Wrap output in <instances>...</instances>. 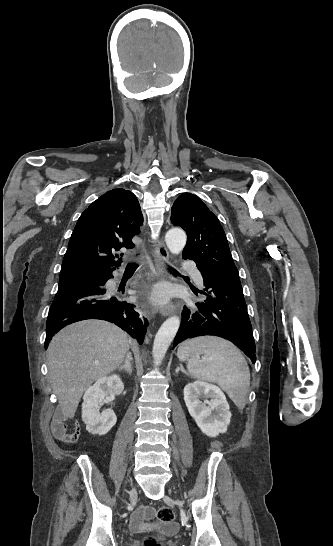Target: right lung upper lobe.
Wrapping results in <instances>:
<instances>
[{
    "label": "right lung upper lobe",
    "mask_w": 333,
    "mask_h": 546,
    "mask_svg": "<svg viewBox=\"0 0 333 546\" xmlns=\"http://www.w3.org/2000/svg\"><path fill=\"white\" fill-rule=\"evenodd\" d=\"M143 215L135 195L124 189L108 191L80 216L65 253L60 280L109 275L121 265L113 253L134 247Z\"/></svg>",
    "instance_id": "cb5924a9"
}]
</instances>
